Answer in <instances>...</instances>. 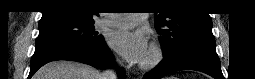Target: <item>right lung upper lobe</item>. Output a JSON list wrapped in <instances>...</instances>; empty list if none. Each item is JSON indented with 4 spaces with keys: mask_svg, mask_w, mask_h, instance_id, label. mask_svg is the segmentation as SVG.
<instances>
[{
    "mask_svg": "<svg viewBox=\"0 0 255 79\" xmlns=\"http://www.w3.org/2000/svg\"><path fill=\"white\" fill-rule=\"evenodd\" d=\"M94 13H96V8L93 0H49L45 4L41 20L74 17L94 21L92 18Z\"/></svg>",
    "mask_w": 255,
    "mask_h": 79,
    "instance_id": "cb5924a9",
    "label": "right lung upper lobe"
}]
</instances>
